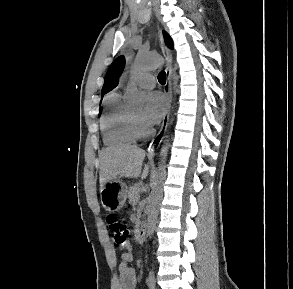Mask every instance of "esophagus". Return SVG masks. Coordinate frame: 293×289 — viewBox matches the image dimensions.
<instances>
[{
  "label": "esophagus",
  "mask_w": 293,
  "mask_h": 289,
  "mask_svg": "<svg viewBox=\"0 0 293 289\" xmlns=\"http://www.w3.org/2000/svg\"><path fill=\"white\" fill-rule=\"evenodd\" d=\"M159 37H160V46L162 53L164 55V58L167 63L166 67V84L164 86V92L167 97V109L166 113L163 117L162 125L157 133L156 137L148 144L147 146V156L149 159H152L154 156V150L156 146L160 145L161 142L164 140L168 123H169V116H170V110H171V104H172V87H171V73H172V53L170 49L166 46L164 42V38L162 35V31H159Z\"/></svg>",
  "instance_id": "1"
}]
</instances>
